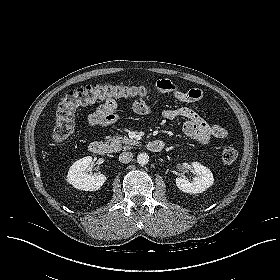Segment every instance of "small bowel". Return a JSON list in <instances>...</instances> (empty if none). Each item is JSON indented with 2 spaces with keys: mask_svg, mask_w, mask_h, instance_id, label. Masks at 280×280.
<instances>
[{
  "mask_svg": "<svg viewBox=\"0 0 280 280\" xmlns=\"http://www.w3.org/2000/svg\"><path fill=\"white\" fill-rule=\"evenodd\" d=\"M154 87L157 93H168L184 103H195L203 97L202 90L198 88L183 90L170 80H158ZM132 108L134 112L142 115L152 112V107L143 99H135ZM162 116L169 121L185 120L183 123L185 135L199 144H207L212 139H223L228 136L225 127L201 117L188 107L164 110ZM119 117L117 102L114 99H106L96 111L90 114L88 120L92 125L106 126L115 123Z\"/></svg>",
  "mask_w": 280,
  "mask_h": 280,
  "instance_id": "c3829d8e",
  "label": "small bowel"
}]
</instances>
